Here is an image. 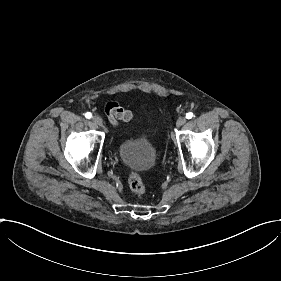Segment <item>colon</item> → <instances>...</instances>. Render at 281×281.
Segmentation results:
<instances>
[{
  "instance_id": "obj_1",
  "label": "colon",
  "mask_w": 281,
  "mask_h": 281,
  "mask_svg": "<svg viewBox=\"0 0 281 281\" xmlns=\"http://www.w3.org/2000/svg\"><path fill=\"white\" fill-rule=\"evenodd\" d=\"M127 185L130 191L136 196H143L147 192V184L145 179L137 172H131L128 174Z\"/></svg>"
}]
</instances>
